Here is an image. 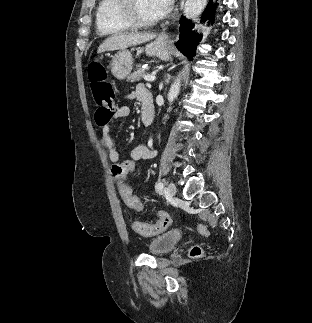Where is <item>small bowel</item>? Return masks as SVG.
I'll return each instance as SVG.
<instances>
[{
  "label": "small bowel",
  "mask_w": 312,
  "mask_h": 323,
  "mask_svg": "<svg viewBox=\"0 0 312 323\" xmlns=\"http://www.w3.org/2000/svg\"><path fill=\"white\" fill-rule=\"evenodd\" d=\"M146 89L144 86H138L136 90L129 94L126 95L125 98L127 99H136L140 102H142V98L146 93ZM131 114V109L128 106H121L117 108L114 116L110 120L108 124L102 127V138H101V144L103 147L107 149V156L109 161L113 164H123L119 163V152L115 149L114 146V140L111 138L109 135V132L111 130V125L120 119L128 118ZM157 152L156 150L149 146V145H137L131 150V158H136V161H141V160H150L153 159L156 156ZM118 185V183H117ZM129 208V206H127ZM130 209V208H129Z\"/></svg>",
  "instance_id": "1"
}]
</instances>
